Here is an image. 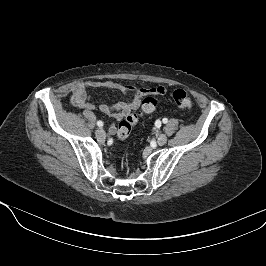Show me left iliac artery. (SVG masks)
<instances>
[{"instance_id":"obj_1","label":"left iliac artery","mask_w":266,"mask_h":266,"mask_svg":"<svg viewBox=\"0 0 266 266\" xmlns=\"http://www.w3.org/2000/svg\"><path fill=\"white\" fill-rule=\"evenodd\" d=\"M162 122H163L164 124H166V123L168 122V119H167V118H163Z\"/></svg>"}]
</instances>
